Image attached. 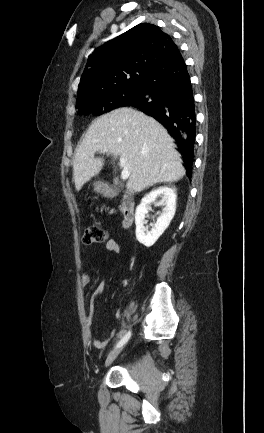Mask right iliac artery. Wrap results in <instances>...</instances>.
Segmentation results:
<instances>
[{
  "label": "right iliac artery",
  "instance_id": "1",
  "mask_svg": "<svg viewBox=\"0 0 264 433\" xmlns=\"http://www.w3.org/2000/svg\"><path fill=\"white\" fill-rule=\"evenodd\" d=\"M130 336H131V332L130 331H128L122 338H121V340L116 344V348H118V347H120V346H123L127 341H128V339L130 338Z\"/></svg>",
  "mask_w": 264,
  "mask_h": 433
}]
</instances>
